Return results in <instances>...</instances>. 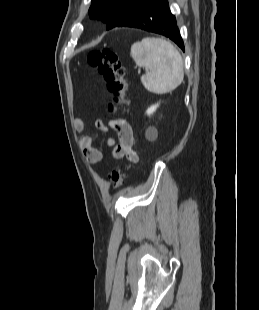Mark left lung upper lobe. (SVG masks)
Masks as SVG:
<instances>
[{"mask_svg": "<svg viewBox=\"0 0 259 310\" xmlns=\"http://www.w3.org/2000/svg\"><path fill=\"white\" fill-rule=\"evenodd\" d=\"M149 0H92L88 14L107 24V30L114 28L117 23L132 9Z\"/></svg>", "mask_w": 259, "mask_h": 310, "instance_id": "5c2ea615", "label": "left lung upper lobe"}]
</instances>
